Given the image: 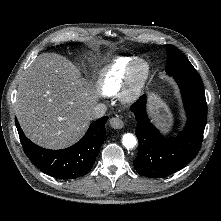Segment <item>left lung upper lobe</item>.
Segmentation results:
<instances>
[{
  "mask_svg": "<svg viewBox=\"0 0 221 221\" xmlns=\"http://www.w3.org/2000/svg\"><path fill=\"white\" fill-rule=\"evenodd\" d=\"M166 72L174 75L184 71H195L190 61L175 46L167 45Z\"/></svg>",
  "mask_w": 221,
  "mask_h": 221,
  "instance_id": "5c2ea615",
  "label": "left lung upper lobe"
}]
</instances>
